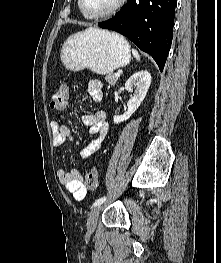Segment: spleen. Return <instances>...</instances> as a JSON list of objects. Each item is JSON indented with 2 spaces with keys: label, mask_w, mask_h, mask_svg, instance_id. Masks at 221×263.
<instances>
[{
  "label": "spleen",
  "mask_w": 221,
  "mask_h": 263,
  "mask_svg": "<svg viewBox=\"0 0 221 263\" xmlns=\"http://www.w3.org/2000/svg\"><path fill=\"white\" fill-rule=\"evenodd\" d=\"M132 54L138 61H140V55L136 49H132Z\"/></svg>",
  "instance_id": "3e777b00"
}]
</instances>
